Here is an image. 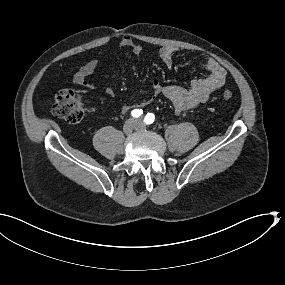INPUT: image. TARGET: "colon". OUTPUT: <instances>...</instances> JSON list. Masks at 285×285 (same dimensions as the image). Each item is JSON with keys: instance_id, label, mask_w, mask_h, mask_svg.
I'll use <instances>...</instances> for the list:
<instances>
[{"instance_id": "colon-1", "label": "colon", "mask_w": 285, "mask_h": 285, "mask_svg": "<svg viewBox=\"0 0 285 285\" xmlns=\"http://www.w3.org/2000/svg\"><path fill=\"white\" fill-rule=\"evenodd\" d=\"M223 99L230 100L233 93L225 90L222 94ZM53 113L69 123L80 122L85 114V107L81 95L74 90L65 89L57 93L53 105Z\"/></svg>"}]
</instances>
